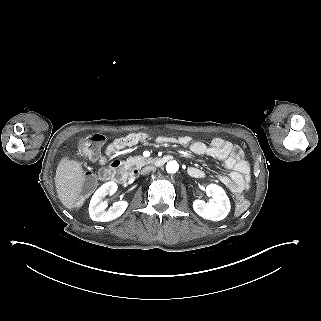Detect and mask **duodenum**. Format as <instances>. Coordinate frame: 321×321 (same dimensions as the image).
Segmentation results:
<instances>
[{"label": "duodenum", "instance_id": "1", "mask_svg": "<svg viewBox=\"0 0 321 321\" xmlns=\"http://www.w3.org/2000/svg\"><path fill=\"white\" fill-rule=\"evenodd\" d=\"M171 158L172 157L169 155L159 157L155 160V165L159 166V167L163 166L168 161H170ZM109 173H110V177L112 178V180H114L117 183H125L129 177V173L126 170V168L123 166L122 163H120L118 161H115L111 164V166L109 168Z\"/></svg>", "mask_w": 321, "mask_h": 321}]
</instances>
